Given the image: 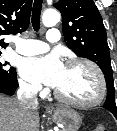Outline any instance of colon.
I'll list each match as a JSON object with an SVG mask.
<instances>
[{"mask_svg":"<svg viewBox=\"0 0 117 131\" xmlns=\"http://www.w3.org/2000/svg\"><path fill=\"white\" fill-rule=\"evenodd\" d=\"M93 131H108V129L104 125L100 124L95 126Z\"/></svg>","mask_w":117,"mask_h":131,"instance_id":"obj_1","label":"colon"}]
</instances>
